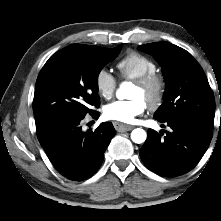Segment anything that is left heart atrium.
Here are the masks:
<instances>
[{
	"mask_svg": "<svg viewBox=\"0 0 221 221\" xmlns=\"http://www.w3.org/2000/svg\"><path fill=\"white\" fill-rule=\"evenodd\" d=\"M146 104L139 98L130 100L114 101L104 108V115L107 119L122 122L132 123L137 116L144 113Z\"/></svg>",
	"mask_w": 221,
	"mask_h": 221,
	"instance_id": "left-heart-atrium-1",
	"label": "left heart atrium"
}]
</instances>
